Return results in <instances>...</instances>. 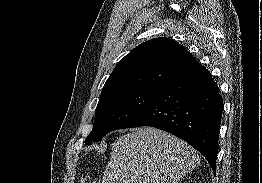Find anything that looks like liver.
Here are the masks:
<instances>
[{
  "mask_svg": "<svg viewBox=\"0 0 262 183\" xmlns=\"http://www.w3.org/2000/svg\"><path fill=\"white\" fill-rule=\"evenodd\" d=\"M199 163V153L185 141L142 127L115 140L102 183H178Z\"/></svg>",
  "mask_w": 262,
  "mask_h": 183,
  "instance_id": "liver-1",
  "label": "liver"
}]
</instances>
